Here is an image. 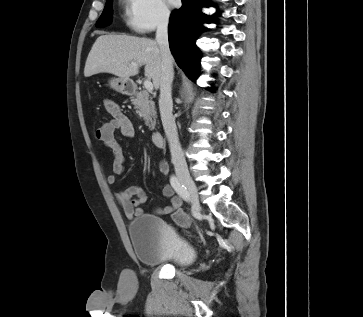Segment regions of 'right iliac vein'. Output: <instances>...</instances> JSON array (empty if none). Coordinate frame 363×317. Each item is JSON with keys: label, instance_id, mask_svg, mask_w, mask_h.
I'll use <instances>...</instances> for the list:
<instances>
[{"label": "right iliac vein", "instance_id": "obj_1", "mask_svg": "<svg viewBox=\"0 0 363 317\" xmlns=\"http://www.w3.org/2000/svg\"><path fill=\"white\" fill-rule=\"evenodd\" d=\"M178 178L180 182L187 187L190 193L193 210L199 211L201 206L199 203L198 190L195 182L193 181V179L190 177L189 174H179Z\"/></svg>", "mask_w": 363, "mask_h": 317}]
</instances>
